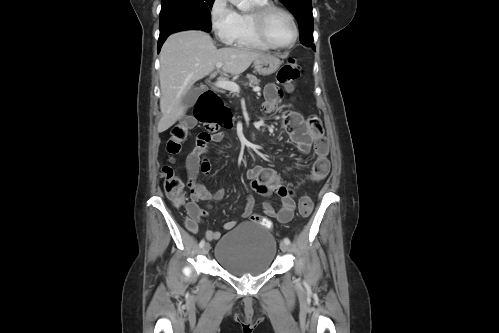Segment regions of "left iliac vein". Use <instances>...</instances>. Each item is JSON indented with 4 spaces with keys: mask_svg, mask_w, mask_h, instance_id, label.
<instances>
[{
    "mask_svg": "<svg viewBox=\"0 0 499 333\" xmlns=\"http://www.w3.org/2000/svg\"><path fill=\"white\" fill-rule=\"evenodd\" d=\"M280 249L283 251V252H287L289 250V246L288 244H286L284 241L283 242H280Z\"/></svg>",
    "mask_w": 499,
    "mask_h": 333,
    "instance_id": "1",
    "label": "left iliac vein"
}]
</instances>
